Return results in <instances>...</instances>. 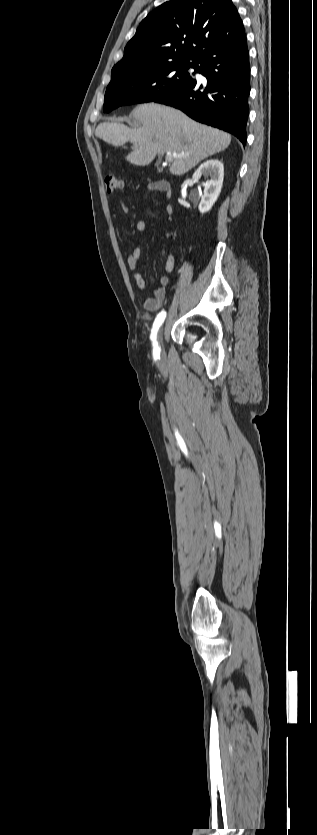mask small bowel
Instances as JSON below:
<instances>
[{
  "mask_svg": "<svg viewBox=\"0 0 317 835\" xmlns=\"http://www.w3.org/2000/svg\"><path fill=\"white\" fill-rule=\"evenodd\" d=\"M149 188L152 190L161 191L159 188V181L154 182L149 185ZM163 192V191H161ZM123 210L126 212L127 209L123 207ZM164 210L167 214H172L173 209L170 205H166ZM146 222L144 220H139L136 224V232L143 233L146 229ZM140 257H141V246L139 243H136L132 252L127 257V265L131 271L134 272V280L136 286L140 290H145L147 285L146 282L139 272L140 268ZM175 257L173 255H169L166 262H165V273L161 276L159 280V286L155 289L154 294L152 297H148L144 302V308L147 311L154 312L159 310L166 302L167 298V285L169 283L170 274L173 272L175 268Z\"/></svg>",
  "mask_w": 317,
  "mask_h": 835,
  "instance_id": "obj_1",
  "label": "small bowel"
}]
</instances>
